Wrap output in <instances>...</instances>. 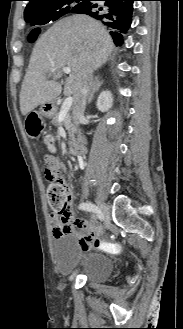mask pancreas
<instances>
[{"mask_svg": "<svg viewBox=\"0 0 183 329\" xmlns=\"http://www.w3.org/2000/svg\"><path fill=\"white\" fill-rule=\"evenodd\" d=\"M58 117H59V113L55 112L52 117V124H54V125L59 124ZM62 124L64 125L65 129L67 130L70 138L74 139V133L76 132V124H75L74 120L72 119V116L70 115L69 112L66 114Z\"/></svg>", "mask_w": 183, "mask_h": 329, "instance_id": "pancreas-1", "label": "pancreas"}]
</instances>
